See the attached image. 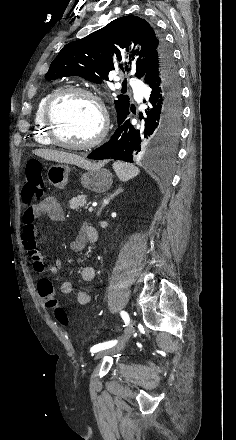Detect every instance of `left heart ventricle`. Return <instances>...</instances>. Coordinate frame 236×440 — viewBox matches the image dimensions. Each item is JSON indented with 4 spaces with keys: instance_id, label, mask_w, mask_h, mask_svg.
Returning a JSON list of instances; mask_svg holds the SVG:
<instances>
[{
    "instance_id": "b2bd125f",
    "label": "left heart ventricle",
    "mask_w": 236,
    "mask_h": 440,
    "mask_svg": "<svg viewBox=\"0 0 236 440\" xmlns=\"http://www.w3.org/2000/svg\"><path fill=\"white\" fill-rule=\"evenodd\" d=\"M53 120L58 137L72 144L90 141L98 132L100 115L88 98L69 95L60 99L53 109Z\"/></svg>"
}]
</instances>
